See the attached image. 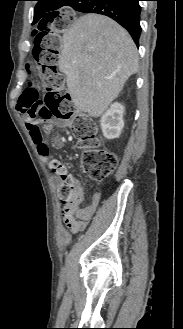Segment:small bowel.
<instances>
[{
  "instance_id": "small-bowel-1",
  "label": "small bowel",
  "mask_w": 183,
  "mask_h": 329,
  "mask_svg": "<svg viewBox=\"0 0 183 329\" xmlns=\"http://www.w3.org/2000/svg\"><path fill=\"white\" fill-rule=\"evenodd\" d=\"M24 125L33 141V143L38 147L40 154L43 157H47L49 155V147L46 153H43L40 149L41 145L44 142L43 136L41 131L37 128L38 126L35 125L34 116L31 114H19ZM61 127H66L67 123L62 121L59 123ZM57 147H62L65 144V139L63 137H57L54 141ZM73 184L79 190L80 193V200L76 206H71L64 208L63 210V219L65 223L73 230V231H80L84 229L87 224L89 223L90 219L94 215L100 201L99 193H94L90 197V202L84 206L80 207L81 202L85 197V190L82 183L74 177H71Z\"/></svg>"
}]
</instances>
